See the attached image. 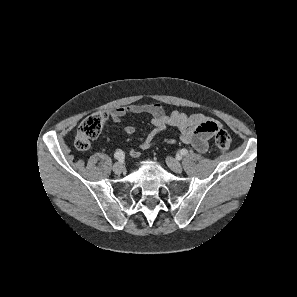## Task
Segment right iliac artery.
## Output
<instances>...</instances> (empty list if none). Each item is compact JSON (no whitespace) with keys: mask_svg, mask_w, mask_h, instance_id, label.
<instances>
[{"mask_svg":"<svg viewBox=\"0 0 297 297\" xmlns=\"http://www.w3.org/2000/svg\"><path fill=\"white\" fill-rule=\"evenodd\" d=\"M125 154L122 150H118L115 152L114 154V157L117 159V160H122L124 158Z\"/></svg>","mask_w":297,"mask_h":297,"instance_id":"obj_1","label":"right iliac artery"}]
</instances>
